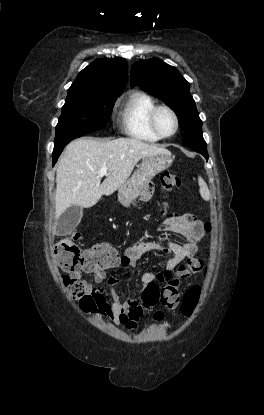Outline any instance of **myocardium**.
Returning <instances> with one entry per match:
<instances>
[{
    "mask_svg": "<svg viewBox=\"0 0 264 415\" xmlns=\"http://www.w3.org/2000/svg\"><path fill=\"white\" fill-rule=\"evenodd\" d=\"M161 110H166V111H168L171 115H172V117H173V119H174V122H175V129H174V131L171 133V134H169V135H163L160 131H159V129H158V127H157V114H158V112L159 111H161ZM148 120H149V126H150V128H151V130H152V132L158 137V138H160V139H168V138H171V137H173L177 132H178V129H179V118H178V115H177V113L174 111V109H172L170 106H168V105H156L152 110H151V112L149 113V118H148Z\"/></svg>",
    "mask_w": 264,
    "mask_h": 415,
    "instance_id": "obj_1",
    "label": "myocardium"
}]
</instances>
